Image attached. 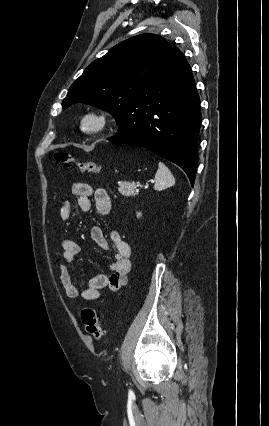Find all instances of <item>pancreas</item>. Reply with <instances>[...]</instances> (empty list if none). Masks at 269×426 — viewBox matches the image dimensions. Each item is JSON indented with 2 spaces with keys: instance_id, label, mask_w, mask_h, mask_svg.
<instances>
[{
  "instance_id": "1",
  "label": "pancreas",
  "mask_w": 269,
  "mask_h": 426,
  "mask_svg": "<svg viewBox=\"0 0 269 426\" xmlns=\"http://www.w3.org/2000/svg\"><path fill=\"white\" fill-rule=\"evenodd\" d=\"M118 191L123 196H127V197L135 196V195L138 194L137 191H136L135 183H130V182H126V181L119 182Z\"/></svg>"
}]
</instances>
